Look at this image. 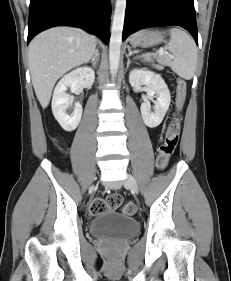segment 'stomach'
<instances>
[{"mask_svg": "<svg viewBox=\"0 0 231 281\" xmlns=\"http://www.w3.org/2000/svg\"><path fill=\"white\" fill-rule=\"evenodd\" d=\"M163 41V35L161 32L156 30H142L138 33H135L130 38V43L132 46H153L159 44Z\"/></svg>", "mask_w": 231, "mask_h": 281, "instance_id": "0dacf381", "label": "stomach"}]
</instances>
